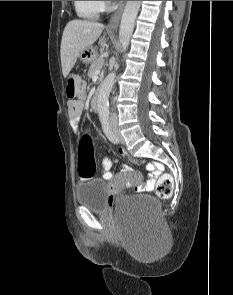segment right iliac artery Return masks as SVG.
<instances>
[{"label": "right iliac artery", "instance_id": "obj_1", "mask_svg": "<svg viewBox=\"0 0 233 295\" xmlns=\"http://www.w3.org/2000/svg\"><path fill=\"white\" fill-rule=\"evenodd\" d=\"M102 125H103V130L106 136L108 137V139L113 143H118L119 140L117 136L115 135V133L112 131V129L109 126V120L106 118L102 119Z\"/></svg>", "mask_w": 233, "mask_h": 295}]
</instances>
